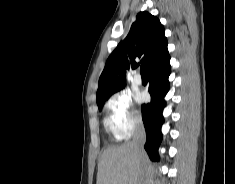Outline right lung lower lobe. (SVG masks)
Here are the masks:
<instances>
[{
  "label": "right lung lower lobe",
  "instance_id": "right-lung-lower-lobe-1",
  "mask_svg": "<svg viewBox=\"0 0 235 184\" xmlns=\"http://www.w3.org/2000/svg\"><path fill=\"white\" fill-rule=\"evenodd\" d=\"M170 56L149 68L146 72L149 79L148 91L151 102L141 106L142 119L146 130V143L144 145L149 157L158 161V147L162 141L161 126L164 122L162 116L165 107L164 96L169 90L168 77L171 72Z\"/></svg>",
  "mask_w": 235,
  "mask_h": 184
}]
</instances>
